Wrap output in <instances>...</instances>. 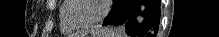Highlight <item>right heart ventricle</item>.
I'll use <instances>...</instances> for the list:
<instances>
[{"label": "right heart ventricle", "mask_w": 219, "mask_h": 37, "mask_svg": "<svg viewBox=\"0 0 219 37\" xmlns=\"http://www.w3.org/2000/svg\"><path fill=\"white\" fill-rule=\"evenodd\" d=\"M68 8H69V4L66 1H63L62 5L60 7L59 13H60L61 30L64 34L72 33L76 29V28L70 26L64 18V12Z\"/></svg>", "instance_id": "e07e8e85"}]
</instances>
